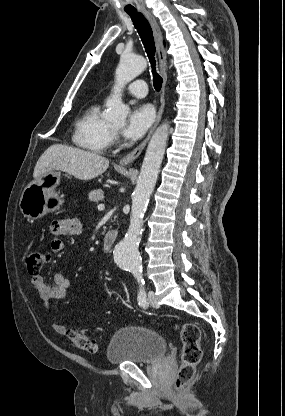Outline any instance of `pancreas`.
<instances>
[{"label":"pancreas","instance_id":"cf45deb5","mask_svg":"<svg viewBox=\"0 0 285 416\" xmlns=\"http://www.w3.org/2000/svg\"><path fill=\"white\" fill-rule=\"evenodd\" d=\"M104 192H102V190H93V192H90V194H88V198L89 200H91V202H100V200H104V196H103Z\"/></svg>","mask_w":285,"mask_h":416}]
</instances>
